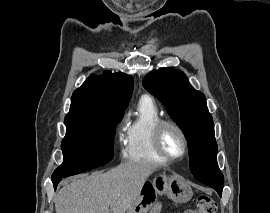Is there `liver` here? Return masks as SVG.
Listing matches in <instances>:
<instances>
[{
	"label": "liver",
	"mask_w": 270,
	"mask_h": 213,
	"mask_svg": "<svg viewBox=\"0 0 270 213\" xmlns=\"http://www.w3.org/2000/svg\"><path fill=\"white\" fill-rule=\"evenodd\" d=\"M156 170L153 164L127 162L76 178L57 193L56 213H125Z\"/></svg>",
	"instance_id": "1"
}]
</instances>
